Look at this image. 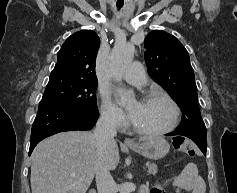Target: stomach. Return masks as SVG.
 I'll return each instance as SVG.
<instances>
[{"mask_svg": "<svg viewBox=\"0 0 237 193\" xmlns=\"http://www.w3.org/2000/svg\"><path fill=\"white\" fill-rule=\"evenodd\" d=\"M129 147L134 152L152 160L165 157L170 149L169 143L162 137H152Z\"/></svg>", "mask_w": 237, "mask_h": 193, "instance_id": "stomach-1", "label": "stomach"}]
</instances>
